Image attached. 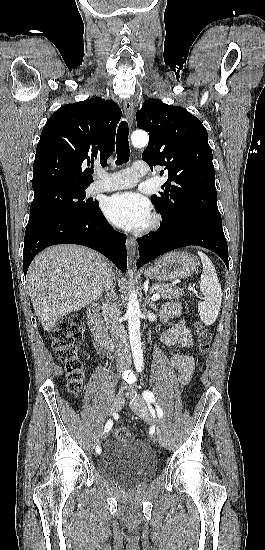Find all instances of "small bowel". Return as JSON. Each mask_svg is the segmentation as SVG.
<instances>
[{
    "instance_id": "obj_1",
    "label": "small bowel",
    "mask_w": 265,
    "mask_h": 550,
    "mask_svg": "<svg viewBox=\"0 0 265 550\" xmlns=\"http://www.w3.org/2000/svg\"><path fill=\"white\" fill-rule=\"evenodd\" d=\"M181 306L178 302L165 304L161 309V317L165 321L170 317L180 318ZM161 340L168 346H181L183 351L174 353L171 357L173 367L178 372V379L182 385L189 383L194 371V358L191 352L193 339L190 330L179 319L178 323L161 334Z\"/></svg>"
}]
</instances>
